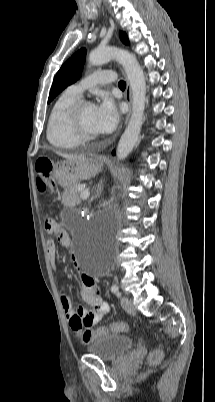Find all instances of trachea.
Here are the masks:
<instances>
[{
    "label": "trachea",
    "instance_id": "3493384b",
    "mask_svg": "<svg viewBox=\"0 0 215 402\" xmlns=\"http://www.w3.org/2000/svg\"><path fill=\"white\" fill-rule=\"evenodd\" d=\"M118 86L120 88H125L126 87V83L124 81H119Z\"/></svg>",
    "mask_w": 215,
    "mask_h": 402
}]
</instances>
